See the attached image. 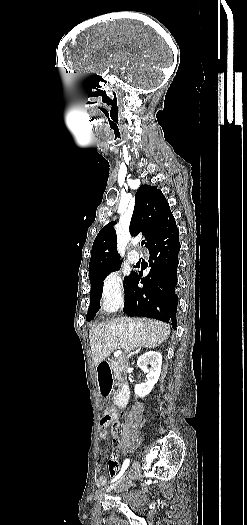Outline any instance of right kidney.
I'll list each match as a JSON object with an SVG mask.
<instances>
[{
	"label": "right kidney",
	"instance_id": "1",
	"mask_svg": "<svg viewBox=\"0 0 247 525\" xmlns=\"http://www.w3.org/2000/svg\"><path fill=\"white\" fill-rule=\"evenodd\" d=\"M148 365H150V369H148ZM137 367L144 371L147 383L135 385L134 393L136 397H146L154 389V385L158 383L162 367V355L156 353V351H148V353H144V355L139 357Z\"/></svg>",
	"mask_w": 247,
	"mask_h": 525
}]
</instances>
